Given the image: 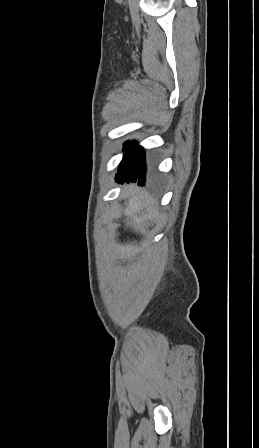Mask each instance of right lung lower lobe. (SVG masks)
I'll list each match as a JSON object with an SVG mask.
<instances>
[{
  "instance_id": "obj_1",
  "label": "right lung lower lobe",
  "mask_w": 259,
  "mask_h": 448,
  "mask_svg": "<svg viewBox=\"0 0 259 448\" xmlns=\"http://www.w3.org/2000/svg\"><path fill=\"white\" fill-rule=\"evenodd\" d=\"M124 146V157L119 164L116 181L122 183L123 181L136 182L138 180L139 185H144L147 171L145 150L136 145L134 141L126 142Z\"/></svg>"
}]
</instances>
